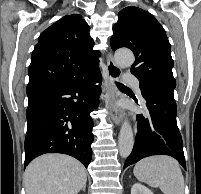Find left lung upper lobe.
<instances>
[{"instance_id":"1","label":"left lung upper lobe","mask_w":201,"mask_h":194,"mask_svg":"<svg viewBox=\"0 0 201 194\" xmlns=\"http://www.w3.org/2000/svg\"><path fill=\"white\" fill-rule=\"evenodd\" d=\"M113 31L112 49L127 47L135 55L131 73L138 78L141 92L164 89L173 93L171 46L155 17L139 7H126L119 12Z\"/></svg>"}]
</instances>
